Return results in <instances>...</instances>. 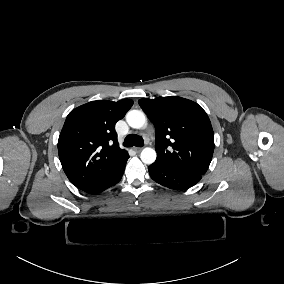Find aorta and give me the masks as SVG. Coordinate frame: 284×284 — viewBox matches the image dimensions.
I'll return each mask as SVG.
<instances>
[{
    "label": "aorta",
    "instance_id": "obj_1",
    "mask_svg": "<svg viewBox=\"0 0 284 284\" xmlns=\"http://www.w3.org/2000/svg\"><path fill=\"white\" fill-rule=\"evenodd\" d=\"M126 121L130 127L134 129H141L146 124V117L143 112L139 110H131L126 115ZM156 151L150 147L142 150L140 158L145 164H152L156 160Z\"/></svg>",
    "mask_w": 284,
    "mask_h": 284
}]
</instances>
